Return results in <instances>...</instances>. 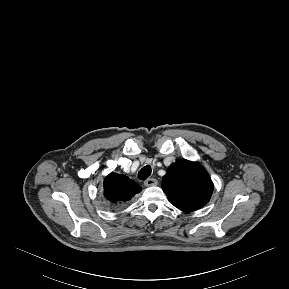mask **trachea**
I'll return each instance as SVG.
<instances>
[{"mask_svg":"<svg viewBox=\"0 0 289 289\" xmlns=\"http://www.w3.org/2000/svg\"><path fill=\"white\" fill-rule=\"evenodd\" d=\"M151 167L149 165L144 166L139 172H138V178L140 180H146L151 175Z\"/></svg>","mask_w":289,"mask_h":289,"instance_id":"1","label":"trachea"}]
</instances>
